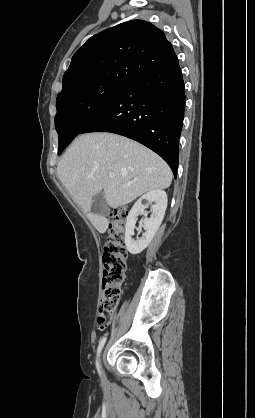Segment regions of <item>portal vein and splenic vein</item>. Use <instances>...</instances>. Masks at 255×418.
Masks as SVG:
<instances>
[{
    "label": "portal vein and splenic vein",
    "mask_w": 255,
    "mask_h": 418,
    "mask_svg": "<svg viewBox=\"0 0 255 418\" xmlns=\"http://www.w3.org/2000/svg\"><path fill=\"white\" fill-rule=\"evenodd\" d=\"M114 176V173H109V177H113Z\"/></svg>",
    "instance_id": "18ae733b"
}]
</instances>
